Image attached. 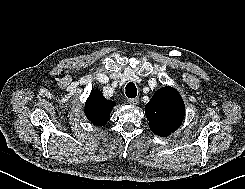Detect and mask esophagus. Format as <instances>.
I'll use <instances>...</instances> for the list:
<instances>
[{
    "mask_svg": "<svg viewBox=\"0 0 245 189\" xmlns=\"http://www.w3.org/2000/svg\"><path fill=\"white\" fill-rule=\"evenodd\" d=\"M140 99L139 98H133V99H129L128 102L131 105H137L139 103Z\"/></svg>",
    "mask_w": 245,
    "mask_h": 189,
    "instance_id": "1",
    "label": "esophagus"
}]
</instances>
